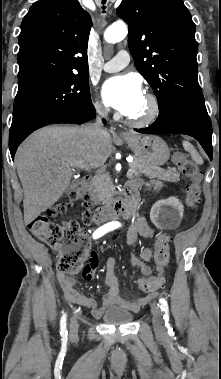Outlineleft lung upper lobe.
Listing matches in <instances>:
<instances>
[{
	"label": "left lung upper lobe",
	"mask_w": 221,
	"mask_h": 379,
	"mask_svg": "<svg viewBox=\"0 0 221 379\" xmlns=\"http://www.w3.org/2000/svg\"><path fill=\"white\" fill-rule=\"evenodd\" d=\"M117 14L129 26L135 66L159 109L168 103L206 108L197 80L195 24L183 0H123Z\"/></svg>",
	"instance_id": "left-lung-upper-lobe-1"
}]
</instances>
